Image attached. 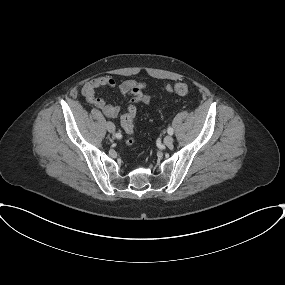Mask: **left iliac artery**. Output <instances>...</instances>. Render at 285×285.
Listing matches in <instances>:
<instances>
[{"label":"left iliac artery","mask_w":285,"mask_h":285,"mask_svg":"<svg viewBox=\"0 0 285 285\" xmlns=\"http://www.w3.org/2000/svg\"><path fill=\"white\" fill-rule=\"evenodd\" d=\"M167 131H168V134H170V135L173 134V129H172L171 127H169V128L167 129Z\"/></svg>","instance_id":"left-iliac-artery-1"}]
</instances>
